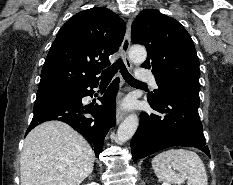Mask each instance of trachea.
Returning a JSON list of instances; mask_svg holds the SVG:
<instances>
[{
    "instance_id": "obj_1",
    "label": "trachea",
    "mask_w": 233,
    "mask_h": 185,
    "mask_svg": "<svg viewBox=\"0 0 233 185\" xmlns=\"http://www.w3.org/2000/svg\"><path fill=\"white\" fill-rule=\"evenodd\" d=\"M120 70L124 80L128 84H144L143 82L136 80L125 67L122 59H118L111 67L102 72L101 84H109L113 76Z\"/></svg>"
}]
</instances>
